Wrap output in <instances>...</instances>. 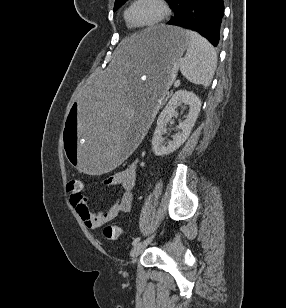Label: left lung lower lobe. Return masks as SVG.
I'll list each match as a JSON object with an SVG mask.
<instances>
[{
    "label": "left lung lower lobe",
    "mask_w": 286,
    "mask_h": 308,
    "mask_svg": "<svg viewBox=\"0 0 286 308\" xmlns=\"http://www.w3.org/2000/svg\"><path fill=\"white\" fill-rule=\"evenodd\" d=\"M170 8L174 16L167 24L197 31L214 46L218 45L223 0H172Z\"/></svg>",
    "instance_id": "1"
}]
</instances>
